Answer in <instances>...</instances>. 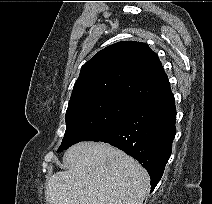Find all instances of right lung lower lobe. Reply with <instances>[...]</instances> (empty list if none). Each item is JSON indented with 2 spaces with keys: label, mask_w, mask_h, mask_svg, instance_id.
I'll return each instance as SVG.
<instances>
[{
  "label": "right lung lower lobe",
  "mask_w": 212,
  "mask_h": 204,
  "mask_svg": "<svg viewBox=\"0 0 212 204\" xmlns=\"http://www.w3.org/2000/svg\"><path fill=\"white\" fill-rule=\"evenodd\" d=\"M175 122V99L168 90L141 103L124 122L93 141L109 143L137 159L148 171L153 191L171 155Z\"/></svg>",
  "instance_id": "98d812e1"
}]
</instances>
